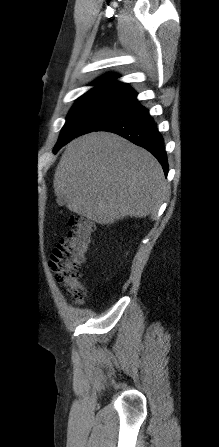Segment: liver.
I'll return each instance as SVG.
<instances>
[{
	"label": "liver",
	"mask_w": 219,
	"mask_h": 447,
	"mask_svg": "<svg viewBox=\"0 0 219 447\" xmlns=\"http://www.w3.org/2000/svg\"><path fill=\"white\" fill-rule=\"evenodd\" d=\"M57 202L99 224L143 218L163 202L166 181L156 158L126 139L94 132L70 142L56 168Z\"/></svg>",
	"instance_id": "obj_1"
}]
</instances>
